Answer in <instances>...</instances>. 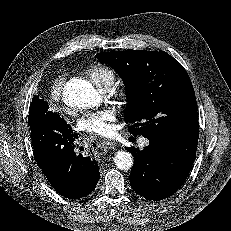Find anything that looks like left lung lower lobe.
<instances>
[{
  "instance_id": "1",
  "label": "left lung lower lobe",
  "mask_w": 231,
  "mask_h": 231,
  "mask_svg": "<svg viewBox=\"0 0 231 231\" xmlns=\"http://www.w3.org/2000/svg\"><path fill=\"white\" fill-rule=\"evenodd\" d=\"M142 151L128 150L134 156L130 175L132 188L150 200L173 195L185 182L196 156L198 136L175 141L148 138Z\"/></svg>"
}]
</instances>
